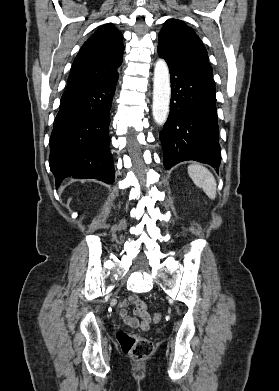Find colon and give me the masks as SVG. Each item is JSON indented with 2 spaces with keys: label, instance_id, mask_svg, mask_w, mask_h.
<instances>
[{
  "label": "colon",
  "instance_id": "5ec220e1",
  "mask_svg": "<svg viewBox=\"0 0 279 391\" xmlns=\"http://www.w3.org/2000/svg\"><path fill=\"white\" fill-rule=\"evenodd\" d=\"M161 320L162 315L160 313H155L153 315V321L155 323H158ZM117 340L123 352L137 359H146L154 352L153 343L147 338L141 336L130 334L125 331H119L117 333Z\"/></svg>",
  "mask_w": 279,
  "mask_h": 391
}]
</instances>
